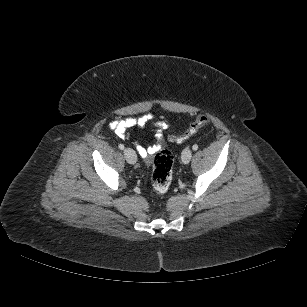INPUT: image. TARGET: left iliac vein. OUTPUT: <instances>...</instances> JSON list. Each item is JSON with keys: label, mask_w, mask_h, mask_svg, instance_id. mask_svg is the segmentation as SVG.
<instances>
[{"label": "left iliac vein", "mask_w": 307, "mask_h": 307, "mask_svg": "<svg viewBox=\"0 0 307 307\" xmlns=\"http://www.w3.org/2000/svg\"><path fill=\"white\" fill-rule=\"evenodd\" d=\"M191 157H192L191 149H189V148L184 149L183 152H182V155H181L182 162L184 164H188L191 160Z\"/></svg>", "instance_id": "4c4485c4"}]
</instances>
